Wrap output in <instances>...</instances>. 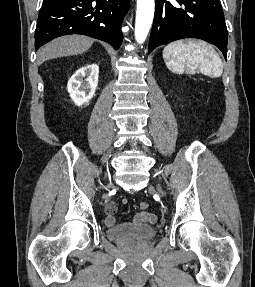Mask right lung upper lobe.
Instances as JSON below:
<instances>
[{
    "label": "right lung upper lobe",
    "instance_id": "obj_1",
    "mask_svg": "<svg viewBox=\"0 0 255 287\" xmlns=\"http://www.w3.org/2000/svg\"><path fill=\"white\" fill-rule=\"evenodd\" d=\"M50 0H44V2L46 3V2H49Z\"/></svg>",
    "mask_w": 255,
    "mask_h": 287
}]
</instances>
